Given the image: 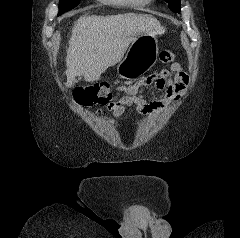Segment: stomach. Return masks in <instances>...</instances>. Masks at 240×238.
Instances as JSON below:
<instances>
[{
  "mask_svg": "<svg viewBox=\"0 0 240 238\" xmlns=\"http://www.w3.org/2000/svg\"><path fill=\"white\" fill-rule=\"evenodd\" d=\"M159 54L157 35L144 33L136 37L117 65L121 78L136 79L149 71Z\"/></svg>",
  "mask_w": 240,
  "mask_h": 238,
  "instance_id": "stomach-1",
  "label": "stomach"
}]
</instances>
